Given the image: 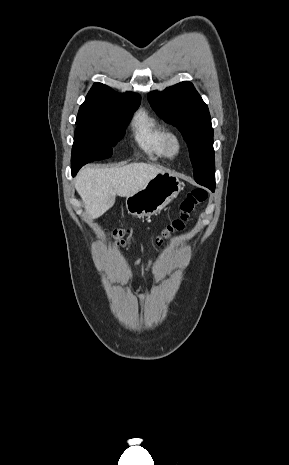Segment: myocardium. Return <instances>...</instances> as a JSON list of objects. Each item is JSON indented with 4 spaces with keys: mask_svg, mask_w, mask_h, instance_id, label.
Returning <instances> with one entry per match:
<instances>
[{
    "mask_svg": "<svg viewBox=\"0 0 289 465\" xmlns=\"http://www.w3.org/2000/svg\"><path fill=\"white\" fill-rule=\"evenodd\" d=\"M163 149L165 155L169 158L178 156L182 150L181 137L174 131H166Z\"/></svg>",
    "mask_w": 289,
    "mask_h": 465,
    "instance_id": "f54148a6",
    "label": "myocardium"
}]
</instances>
